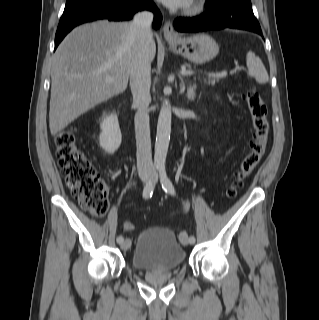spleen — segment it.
I'll list each match as a JSON object with an SVG mask.
<instances>
[{
  "label": "spleen",
  "mask_w": 319,
  "mask_h": 320,
  "mask_svg": "<svg viewBox=\"0 0 319 320\" xmlns=\"http://www.w3.org/2000/svg\"><path fill=\"white\" fill-rule=\"evenodd\" d=\"M247 68L249 72L255 77L256 81L260 84H265L269 80L268 73L259 57L252 51L246 55Z\"/></svg>",
  "instance_id": "obj_1"
}]
</instances>
